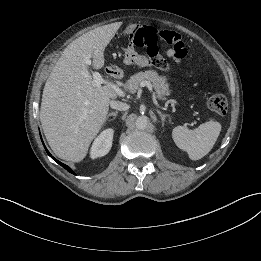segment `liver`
<instances>
[{
  "label": "liver",
  "mask_w": 261,
  "mask_h": 261,
  "mask_svg": "<svg viewBox=\"0 0 261 261\" xmlns=\"http://www.w3.org/2000/svg\"><path fill=\"white\" fill-rule=\"evenodd\" d=\"M115 33L111 26L95 28L75 39L63 51L48 77L42 95L40 121L53 152L61 159L82 161L107 119L109 86L96 87L85 63L104 65V50Z\"/></svg>",
  "instance_id": "1"
}]
</instances>
